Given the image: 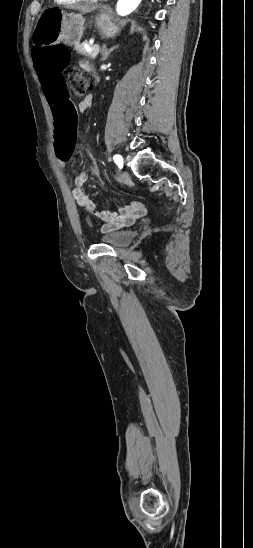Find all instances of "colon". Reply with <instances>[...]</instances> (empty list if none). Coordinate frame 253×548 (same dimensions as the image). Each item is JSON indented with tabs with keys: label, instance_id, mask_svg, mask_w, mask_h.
Here are the masks:
<instances>
[{
	"label": "colon",
	"instance_id": "5ec220e1",
	"mask_svg": "<svg viewBox=\"0 0 253 548\" xmlns=\"http://www.w3.org/2000/svg\"><path fill=\"white\" fill-rule=\"evenodd\" d=\"M35 69L38 79H41V94L46 96V104L51 105V114L55 127L52 148L56 156L68 159L78 134L75 126L77 120L76 99L70 98L68 82L65 80L69 55L62 45H55L34 52ZM71 92L75 96H82L91 83V78L79 70H72L68 76ZM93 178L98 183L107 179L102 175L97 161L87 162ZM110 187L108 184L105 186ZM115 190L113 187L110 189Z\"/></svg>",
	"mask_w": 253,
	"mask_h": 548
}]
</instances>
